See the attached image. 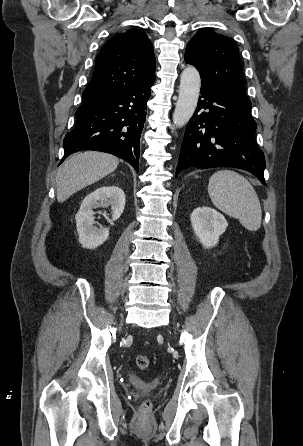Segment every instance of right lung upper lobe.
Segmentation results:
<instances>
[{
    "label": "right lung upper lobe",
    "mask_w": 303,
    "mask_h": 446,
    "mask_svg": "<svg viewBox=\"0 0 303 446\" xmlns=\"http://www.w3.org/2000/svg\"><path fill=\"white\" fill-rule=\"evenodd\" d=\"M94 70L91 82L83 91V101L152 80L155 78L152 43L138 29L117 34L97 55Z\"/></svg>",
    "instance_id": "cb5924a9"
}]
</instances>
